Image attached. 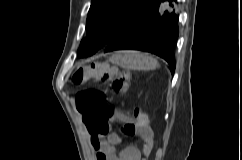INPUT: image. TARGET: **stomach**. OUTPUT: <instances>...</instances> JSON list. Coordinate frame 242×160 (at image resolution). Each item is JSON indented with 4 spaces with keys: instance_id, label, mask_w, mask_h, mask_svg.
<instances>
[{
    "instance_id": "0dacf381",
    "label": "stomach",
    "mask_w": 242,
    "mask_h": 160,
    "mask_svg": "<svg viewBox=\"0 0 242 160\" xmlns=\"http://www.w3.org/2000/svg\"><path fill=\"white\" fill-rule=\"evenodd\" d=\"M110 61L124 69H153L157 63L153 58L137 51H119L110 58Z\"/></svg>"
}]
</instances>
